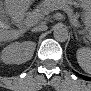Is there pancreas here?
Instances as JSON below:
<instances>
[{
  "instance_id": "cf45deb5",
  "label": "pancreas",
  "mask_w": 91,
  "mask_h": 91,
  "mask_svg": "<svg viewBox=\"0 0 91 91\" xmlns=\"http://www.w3.org/2000/svg\"><path fill=\"white\" fill-rule=\"evenodd\" d=\"M56 9H65L67 13L71 16L72 21L77 24V20L72 15V12L69 6L64 1H42L37 9H35L31 14L34 15L37 19L43 18L45 15L49 14L51 11Z\"/></svg>"
}]
</instances>
